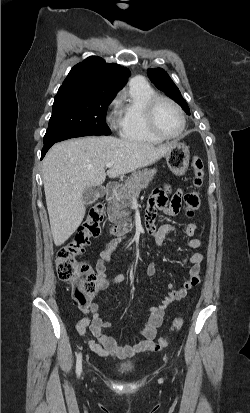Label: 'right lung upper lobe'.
Listing matches in <instances>:
<instances>
[{
    "mask_svg": "<svg viewBox=\"0 0 250 413\" xmlns=\"http://www.w3.org/2000/svg\"><path fill=\"white\" fill-rule=\"evenodd\" d=\"M131 72L118 64L91 56L75 65L60 88L79 87L87 90L117 93L125 85Z\"/></svg>",
    "mask_w": 250,
    "mask_h": 413,
    "instance_id": "1",
    "label": "right lung upper lobe"
}]
</instances>
